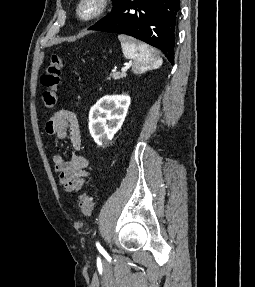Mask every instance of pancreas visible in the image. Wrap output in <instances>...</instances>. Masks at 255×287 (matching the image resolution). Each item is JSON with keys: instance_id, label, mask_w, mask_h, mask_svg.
Wrapping results in <instances>:
<instances>
[{"instance_id": "obj_1", "label": "pancreas", "mask_w": 255, "mask_h": 287, "mask_svg": "<svg viewBox=\"0 0 255 287\" xmlns=\"http://www.w3.org/2000/svg\"><path fill=\"white\" fill-rule=\"evenodd\" d=\"M111 78L114 80H120V78H125V72H114V74H110ZM111 78H107V80H111Z\"/></svg>"}]
</instances>
